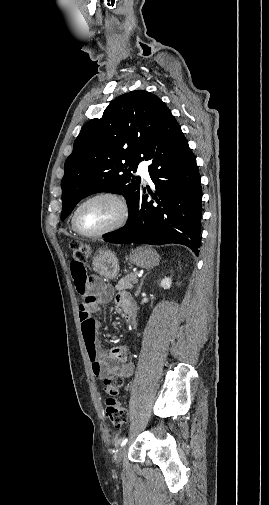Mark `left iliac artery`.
<instances>
[{"instance_id": "left-iliac-artery-1", "label": "left iliac artery", "mask_w": 269, "mask_h": 505, "mask_svg": "<svg viewBox=\"0 0 269 505\" xmlns=\"http://www.w3.org/2000/svg\"><path fill=\"white\" fill-rule=\"evenodd\" d=\"M128 439L127 438H124L121 443H120V446H124L126 443H127Z\"/></svg>"}]
</instances>
